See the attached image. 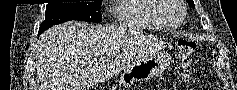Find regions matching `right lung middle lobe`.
I'll use <instances>...</instances> for the list:
<instances>
[{
	"instance_id": "dd1d6c3e",
	"label": "right lung middle lobe",
	"mask_w": 237,
	"mask_h": 90,
	"mask_svg": "<svg viewBox=\"0 0 237 90\" xmlns=\"http://www.w3.org/2000/svg\"><path fill=\"white\" fill-rule=\"evenodd\" d=\"M102 0L95 2L47 4L45 20L41 23L39 34L59 23L70 20H81L100 23L102 21L100 8Z\"/></svg>"
}]
</instances>
